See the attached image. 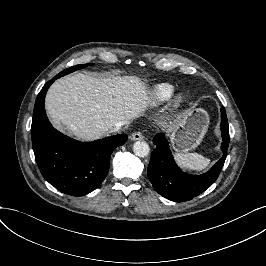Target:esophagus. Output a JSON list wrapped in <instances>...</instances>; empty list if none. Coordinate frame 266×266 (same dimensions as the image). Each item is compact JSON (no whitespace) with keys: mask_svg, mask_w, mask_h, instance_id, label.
Returning a JSON list of instances; mask_svg holds the SVG:
<instances>
[{"mask_svg":"<svg viewBox=\"0 0 266 266\" xmlns=\"http://www.w3.org/2000/svg\"><path fill=\"white\" fill-rule=\"evenodd\" d=\"M144 135L141 132H135L131 135V140L137 141V140H143Z\"/></svg>","mask_w":266,"mask_h":266,"instance_id":"esophagus-1","label":"esophagus"}]
</instances>
